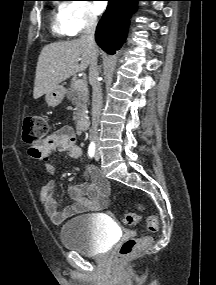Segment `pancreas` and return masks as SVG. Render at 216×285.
Masks as SVG:
<instances>
[{
  "mask_svg": "<svg viewBox=\"0 0 216 285\" xmlns=\"http://www.w3.org/2000/svg\"><path fill=\"white\" fill-rule=\"evenodd\" d=\"M76 81H72L67 91V98L76 106L74 113V120H77L86 114L87 102L89 99L87 82L80 87L75 86Z\"/></svg>",
  "mask_w": 216,
  "mask_h": 285,
  "instance_id": "pancreas-1",
  "label": "pancreas"
}]
</instances>
